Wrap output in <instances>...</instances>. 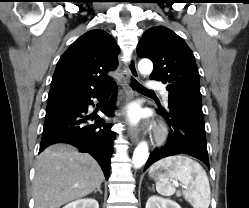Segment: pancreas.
<instances>
[{"mask_svg":"<svg viewBox=\"0 0 249 208\" xmlns=\"http://www.w3.org/2000/svg\"><path fill=\"white\" fill-rule=\"evenodd\" d=\"M177 196H178V197L180 196V193H179V192H177Z\"/></svg>","mask_w":249,"mask_h":208,"instance_id":"obj_1","label":"pancreas"}]
</instances>
